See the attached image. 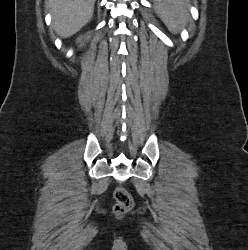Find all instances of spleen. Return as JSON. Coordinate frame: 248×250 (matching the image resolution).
Segmentation results:
<instances>
[{
    "mask_svg": "<svg viewBox=\"0 0 248 250\" xmlns=\"http://www.w3.org/2000/svg\"><path fill=\"white\" fill-rule=\"evenodd\" d=\"M155 10L171 33L185 26L189 20L188 0H154Z\"/></svg>",
    "mask_w": 248,
    "mask_h": 250,
    "instance_id": "1",
    "label": "spleen"
}]
</instances>
